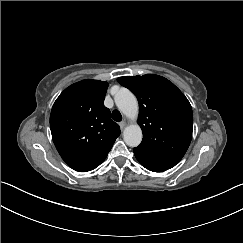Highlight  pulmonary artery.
I'll return each mask as SVG.
<instances>
[{
	"label": "pulmonary artery",
	"instance_id": "e3ab8cb5",
	"mask_svg": "<svg viewBox=\"0 0 243 243\" xmlns=\"http://www.w3.org/2000/svg\"><path fill=\"white\" fill-rule=\"evenodd\" d=\"M117 105H118V107L122 108L123 107V101L121 99H118Z\"/></svg>",
	"mask_w": 243,
	"mask_h": 243
}]
</instances>
